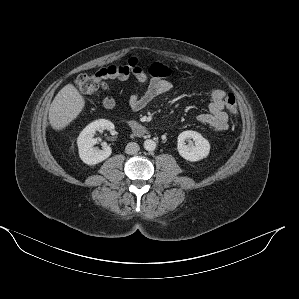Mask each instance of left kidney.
<instances>
[{
  "label": "left kidney",
  "mask_w": 299,
  "mask_h": 299,
  "mask_svg": "<svg viewBox=\"0 0 299 299\" xmlns=\"http://www.w3.org/2000/svg\"><path fill=\"white\" fill-rule=\"evenodd\" d=\"M185 141H188L187 145ZM177 142L178 152L185 160L196 162L209 155L210 144L208 140L196 131H183L178 135Z\"/></svg>",
  "instance_id": "1"
}]
</instances>
